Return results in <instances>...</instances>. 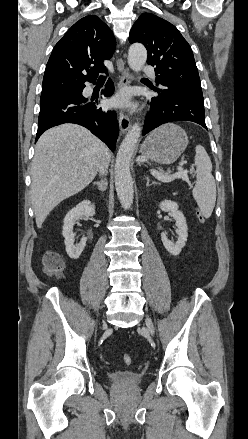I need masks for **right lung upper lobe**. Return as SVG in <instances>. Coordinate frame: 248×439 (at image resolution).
Wrapping results in <instances>:
<instances>
[{
  "instance_id": "1",
  "label": "right lung upper lobe",
  "mask_w": 248,
  "mask_h": 439,
  "mask_svg": "<svg viewBox=\"0 0 248 439\" xmlns=\"http://www.w3.org/2000/svg\"><path fill=\"white\" fill-rule=\"evenodd\" d=\"M116 47L110 28L97 16L77 21L55 45L48 60L41 97L75 91L105 72L104 60Z\"/></svg>"
}]
</instances>
